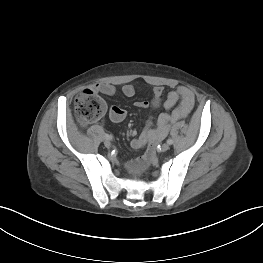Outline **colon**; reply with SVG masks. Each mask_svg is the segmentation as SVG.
<instances>
[{
  "instance_id": "obj_1",
  "label": "colon",
  "mask_w": 263,
  "mask_h": 263,
  "mask_svg": "<svg viewBox=\"0 0 263 263\" xmlns=\"http://www.w3.org/2000/svg\"><path fill=\"white\" fill-rule=\"evenodd\" d=\"M77 119L83 124L99 120L106 112V104L102 97L94 90L82 91L74 102Z\"/></svg>"
}]
</instances>
